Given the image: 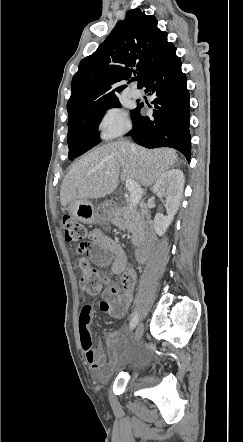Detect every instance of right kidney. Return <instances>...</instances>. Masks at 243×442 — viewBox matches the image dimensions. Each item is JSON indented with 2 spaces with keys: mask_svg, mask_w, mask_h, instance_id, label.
<instances>
[{
  "mask_svg": "<svg viewBox=\"0 0 243 442\" xmlns=\"http://www.w3.org/2000/svg\"><path fill=\"white\" fill-rule=\"evenodd\" d=\"M184 174L179 169H171L157 179L153 193L164 199L167 216L157 213L154 218V229L157 235L163 236L172 223L182 200Z\"/></svg>",
  "mask_w": 243,
  "mask_h": 442,
  "instance_id": "ca27d5eb",
  "label": "right kidney"
}]
</instances>
